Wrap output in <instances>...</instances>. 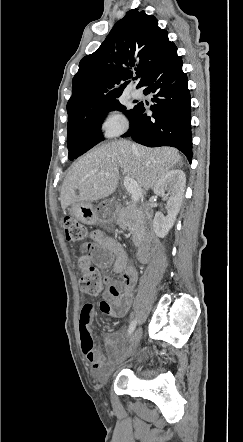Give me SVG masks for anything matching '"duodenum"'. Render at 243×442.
<instances>
[{
	"label": "duodenum",
	"mask_w": 243,
	"mask_h": 442,
	"mask_svg": "<svg viewBox=\"0 0 243 442\" xmlns=\"http://www.w3.org/2000/svg\"><path fill=\"white\" fill-rule=\"evenodd\" d=\"M138 217L143 227V242L138 248L137 259L140 263H147L156 248L157 240L147 206H142Z\"/></svg>",
	"instance_id": "1"
}]
</instances>
